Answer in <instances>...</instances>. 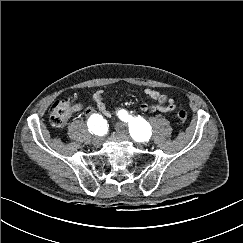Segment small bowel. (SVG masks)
I'll return each instance as SVG.
<instances>
[{
    "mask_svg": "<svg viewBox=\"0 0 243 243\" xmlns=\"http://www.w3.org/2000/svg\"><path fill=\"white\" fill-rule=\"evenodd\" d=\"M145 94L156 101V104H148V103H142L140 105V110L143 112H156V111H162V112H170L173 111L177 105L174 102L173 99L168 98L165 94L152 89V88H147L145 89ZM92 101L94 105L96 106L97 110L106 117L111 116L110 111L108 110L104 98H103V91L99 90L95 92L92 96ZM82 108L81 104H77L75 106V110H80Z\"/></svg>",
    "mask_w": 243,
    "mask_h": 243,
    "instance_id": "small-bowel-1",
    "label": "small bowel"
}]
</instances>
